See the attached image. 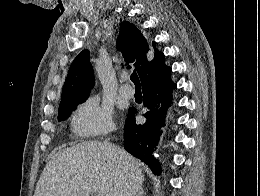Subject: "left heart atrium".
I'll return each mask as SVG.
<instances>
[{"label":"left heart atrium","mask_w":260,"mask_h":196,"mask_svg":"<svg viewBox=\"0 0 260 196\" xmlns=\"http://www.w3.org/2000/svg\"><path fill=\"white\" fill-rule=\"evenodd\" d=\"M124 190H107V192H123Z\"/></svg>","instance_id":"1"}]
</instances>
